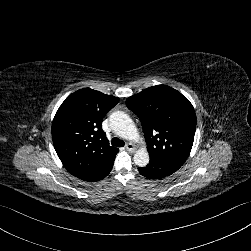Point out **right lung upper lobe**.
<instances>
[{"instance_id": "right-lung-upper-lobe-1", "label": "right lung upper lobe", "mask_w": 251, "mask_h": 251, "mask_svg": "<svg viewBox=\"0 0 251 251\" xmlns=\"http://www.w3.org/2000/svg\"><path fill=\"white\" fill-rule=\"evenodd\" d=\"M118 102L117 97L84 88L72 93L59 107L52 123L53 144L73 176L95 182L111 171L119 150L109 146L101 124Z\"/></svg>"}]
</instances>
